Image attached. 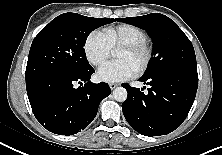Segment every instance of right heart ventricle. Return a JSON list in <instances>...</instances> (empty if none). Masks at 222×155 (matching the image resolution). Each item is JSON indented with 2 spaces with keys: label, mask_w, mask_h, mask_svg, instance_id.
I'll return each mask as SVG.
<instances>
[{
  "label": "right heart ventricle",
  "mask_w": 222,
  "mask_h": 155,
  "mask_svg": "<svg viewBox=\"0 0 222 155\" xmlns=\"http://www.w3.org/2000/svg\"><path fill=\"white\" fill-rule=\"evenodd\" d=\"M103 34L111 49L120 48L125 44L145 42L148 39V34L144 29L127 23L107 27Z\"/></svg>",
  "instance_id": "1"
}]
</instances>
